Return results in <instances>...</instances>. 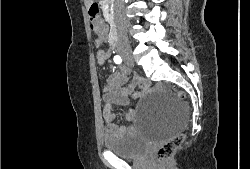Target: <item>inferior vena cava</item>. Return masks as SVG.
Instances as JSON below:
<instances>
[{"instance_id": "obj_1", "label": "inferior vena cava", "mask_w": 250, "mask_h": 169, "mask_svg": "<svg viewBox=\"0 0 250 169\" xmlns=\"http://www.w3.org/2000/svg\"><path fill=\"white\" fill-rule=\"evenodd\" d=\"M122 4V0H115L114 18L119 34H124L126 28V20Z\"/></svg>"}]
</instances>
